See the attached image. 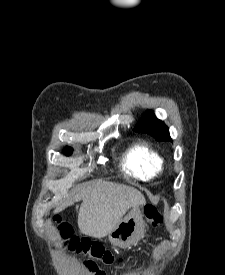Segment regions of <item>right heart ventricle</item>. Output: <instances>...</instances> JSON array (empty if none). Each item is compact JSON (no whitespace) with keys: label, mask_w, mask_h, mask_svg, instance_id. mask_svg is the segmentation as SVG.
<instances>
[{"label":"right heart ventricle","mask_w":225,"mask_h":275,"mask_svg":"<svg viewBox=\"0 0 225 275\" xmlns=\"http://www.w3.org/2000/svg\"><path fill=\"white\" fill-rule=\"evenodd\" d=\"M122 166L127 173L147 181L162 172L164 160L148 144L138 142L126 150L123 155Z\"/></svg>","instance_id":"right-heart-ventricle-1"}]
</instances>
